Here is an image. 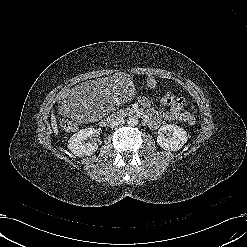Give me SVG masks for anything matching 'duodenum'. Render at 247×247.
I'll return each instance as SVG.
<instances>
[{
    "mask_svg": "<svg viewBox=\"0 0 247 247\" xmlns=\"http://www.w3.org/2000/svg\"><path fill=\"white\" fill-rule=\"evenodd\" d=\"M139 112L137 109H130L127 111V114L128 115H137ZM120 117V115H115V116H112V117H109L106 122H110V121H114V120H118Z\"/></svg>",
    "mask_w": 247,
    "mask_h": 247,
    "instance_id": "duodenum-1",
    "label": "duodenum"
}]
</instances>
